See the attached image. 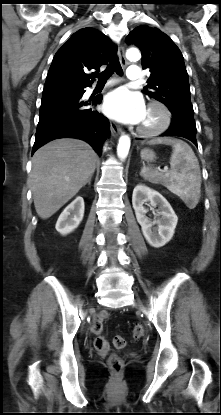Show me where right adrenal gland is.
Instances as JSON below:
<instances>
[{"instance_id":"2a0ac1e0","label":"right adrenal gland","mask_w":221,"mask_h":415,"mask_svg":"<svg viewBox=\"0 0 221 415\" xmlns=\"http://www.w3.org/2000/svg\"><path fill=\"white\" fill-rule=\"evenodd\" d=\"M92 176H93V175H92ZM92 176H90V177H89V179L87 180L88 185H91V179H92Z\"/></svg>"}]
</instances>
